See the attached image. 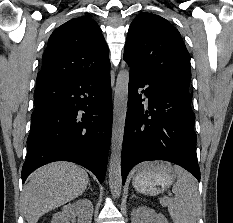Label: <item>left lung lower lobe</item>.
I'll use <instances>...</instances> for the list:
<instances>
[{"mask_svg":"<svg viewBox=\"0 0 233 223\" xmlns=\"http://www.w3.org/2000/svg\"><path fill=\"white\" fill-rule=\"evenodd\" d=\"M124 60L130 66V80L121 155L123 183L134 165L147 160L175 163L200 181L191 94L156 82L137 64ZM145 85L149 87L141 91ZM142 94L148 97V107L142 104Z\"/></svg>","mask_w":233,"mask_h":223,"instance_id":"obj_1","label":"left lung lower lobe"}]
</instances>
